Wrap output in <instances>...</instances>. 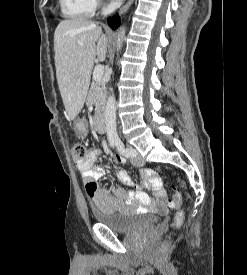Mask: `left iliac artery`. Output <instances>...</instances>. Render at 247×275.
<instances>
[{
  "mask_svg": "<svg viewBox=\"0 0 247 275\" xmlns=\"http://www.w3.org/2000/svg\"><path fill=\"white\" fill-rule=\"evenodd\" d=\"M114 145L116 146L118 152L125 157H134V151L131 148H125L123 142L120 138H116L113 140Z\"/></svg>",
  "mask_w": 247,
  "mask_h": 275,
  "instance_id": "obj_1",
  "label": "left iliac artery"
}]
</instances>
